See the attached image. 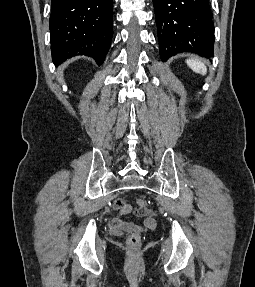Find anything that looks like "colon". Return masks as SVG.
Returning <instances> with one entry per match:
<instances>
[{
    "label": "colon",
    "instance_id": "obj_1",
    "mask_svg": "<svg viewBox=\"0 0 255 287\" xmlns=\"http://www.w3.org/2000/svg\"><path fill=\"white\" fill-rule=\"evenodd\" d=\"M137 204L140 208H145L147 206V202L144 199H138ZM140 239L139 233H132L129 235L127 243L130 247H136L140 243Z\"/></svg>",
    "mask_w": 255,
    "mask_h": 287
}]
</instances>
